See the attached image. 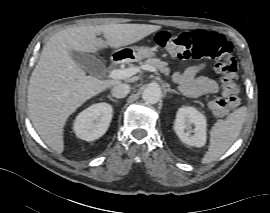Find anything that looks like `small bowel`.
Segmentation results:
<instances>
[{"label": "small bowel", "mask_w": 270, "mask_h": 213, "mask_svg": "<svg viewBox=\"0 0 270 213\" xmlns=\"http://www.w3.org/2000/svg\"><path fill=\"white\" fill-rule=\"evenodd\" d=\"M205 66V63H201L188 67L183 72L174 73V80L179 84L183 94L196 98L217 92L218 85L215 80L206 76H197V73Z\"/></svg>", "instance_id": "c3829d8e"}]
</instances>
